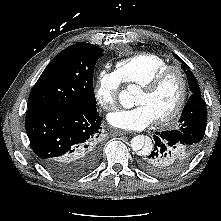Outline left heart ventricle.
<instances>
[{
	"instance_id": "1",
	"label": "left heart ventricle",
	"mask_w": 221,
	"mask_h": 221,
	"mask_svg": "<svg viewBox=\"0 0 221 221\" xmlns=\"http://www.w3.org/2000/svg\"><path fill=\"white\" fill-rule=\"evenodd\" d=\"M181 90L179 76L171 73L153 93L140 90L135 97V105H145L156 118L166 115L176 105Z\"/></svg>"
}]
</instances>
